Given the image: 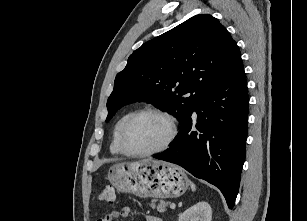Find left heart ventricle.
<instances>
[{
    "label": "left heart ventricle",
    "instance_id": "obj_1",
    "mask_svg": "<svg viewBox=\"0 0 307 221\" xmlns=\"http://www.w3.org/2000/svg\"><path fill=\"white\" fill-rule=\"evenodd\" d=\"M169 132L167 122L160 116L144 114L129 127L125 143L133 152H145L160 146Z\"/></svg>",
    "mask_w": 307,
    "mask_h": 221
}]
</instances>
